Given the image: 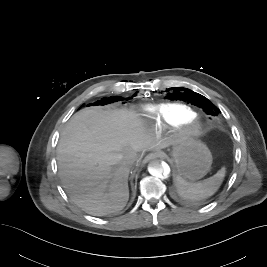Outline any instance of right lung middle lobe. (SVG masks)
I'll return each instance as SVG.
<instances>
[{"mask_svg":"<svg viewBox=\"0 0 267 267\" xmlns=\"http://www.w3.org/2000/svg\"><path fill=\"white\" fill-rule=\"evenodd\" d=\"M121 98L120 97H109V98H103L101 101H97L95 102L94 104L92 105H104V104H108V103H111V102H115V101H118L120 100Z\"/></svg>","mask_w":267,"mask_h":267,"instance_id":"obj_1","label":"right lung middle lobe"}]
</instances>
